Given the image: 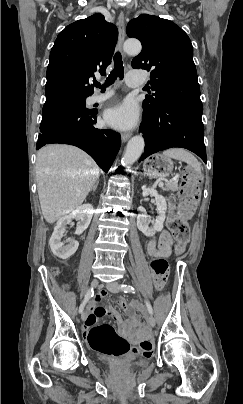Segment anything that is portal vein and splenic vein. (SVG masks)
Segmentation results:
<instances>
[{
    "label": "portal vein and splenic vein",
    "instance_id": "18ae733b",
    "mask_svg": "<svg viewBox=\"0 0 243 404\" xmlns=\"http://www.w3.org/2000/svg\"><path fill=\"white\" fill-rule=\"evenodd\" d=\"M158 185H159V188H163V186H164V184H163L162 181H159V182H158Z\"/></svg>",
    "mask_w": 243,
    "mask_h": 404
}]
</instances>
